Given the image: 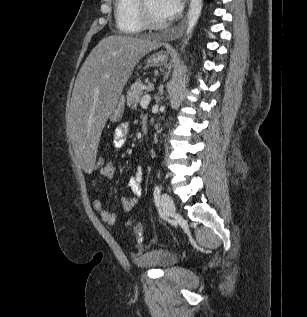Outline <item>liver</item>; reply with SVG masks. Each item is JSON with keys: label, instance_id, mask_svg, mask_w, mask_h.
Here are the masks:
<instances>
[{"label": "liver", "instance_id": "liver-1", "mask_svg": "<svg viewBox=\"0 0 307 317\" xmlns=\"http://www.w3.org/2000/svg\"><path fill=\"white\" fill-rule=\"evenodd\" d=\"M160 46L148 37L110 35L98 43L83 63L67 120L68 135L83 175H92L94 171L101 131L135 66Z\"/></svg>", "mask_w": 307, "mask_h": 317}]
</instances>
